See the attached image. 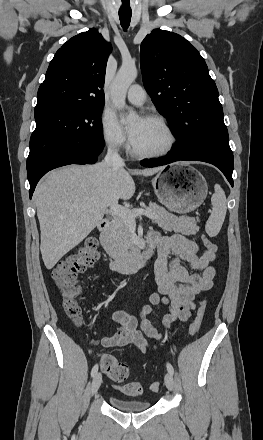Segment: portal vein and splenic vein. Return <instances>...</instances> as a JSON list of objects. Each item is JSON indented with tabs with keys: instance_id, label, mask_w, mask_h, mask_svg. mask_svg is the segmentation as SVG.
I'll use <instances>...</instances> for the list:
<instances>
[{
	"instance_id": "portal-vein-and-splenic-vein-1",
	"label": "portal vein and splenic vein",
	"mask_w": 263,
	"mask_h": 440,
	"mask_svg": "<svg viewBox=\"0 0 263 440\" xmlns=\"http://www.w3.org/2000/svg\"><path fill=\"white\" fill-rule=\"evenodd\" d=\"M109 212L113 215L125 219L132 227H135V217L138 215H145L146 217L150 219H155L156 215L149 211V210H143L138 209L136 211H131L125 207H122L118 204H114L109 207Z\"/></svg>"
}]
</instances>
